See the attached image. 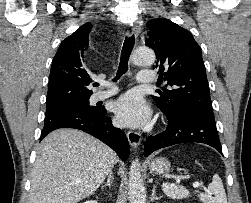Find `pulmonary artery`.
I'll use <instances>...</instances> for the list:
<instances>
[{
    "instance_id": "pulmonary-artery-1",
    "label": "pulmonary artery",
    "mask_w": 251,
    "mask_h": 203,
    "mask_svg": "<svg viewBox=\"0 0 251 203\" xmlns=\"http://www.w3.org/2000/svg\"><path fill=\"white\" fill-rule=\"evenodd\" d=\"M137 80L140 83H153L156 81V75L153 71H143L138 74ZM117 92L118 88H111L110 90L107 91H99L92 96V100L94 102L104 100L106 98L115 95Z\"/></svg>"
}]
</instances>
